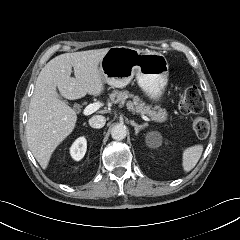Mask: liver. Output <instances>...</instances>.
<instances>
[{"label": "liver", "mask_w": 240, "mask_h": 240, "mask_svg": "<svg viewBox=\"0 0 240 240\" xmlns=\"http://www.w3.org/2000/svg\"><path fill=\"white\" fill-rule=\"evenodd\" d=\"M109 48L65 53L50 60L41 70L31 97L26 137L30 151L46 169L57 146L75 128L77 115L57 93L69 100L100 95L103 79L99 64ZM72 67L75 78L71 77Z\"/></svg>", "instance_id": "1"}]
</instances>
